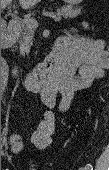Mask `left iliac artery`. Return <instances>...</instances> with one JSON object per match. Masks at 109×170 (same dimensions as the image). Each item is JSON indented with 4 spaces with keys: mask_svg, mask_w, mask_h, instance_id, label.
Returning a JSON list of instances; mask_svg holds the SVG:
<instances>
[{
    "mask_svg": "<svg viewBox=\"0 0 109 170\" xmlns=\"http://www.w3.org/2000/svg\"><path fill=\"white\" fill-rule=\"evenodd\" d=\"M91 168V165L87 164L85 167H82L81 170H92Z\"/></svg>",
    "mask_w": 109,
    "mask_h": 170,
    "instance_id": "obj_1",
    "label": "left iliac artery"
}]
</instances>
